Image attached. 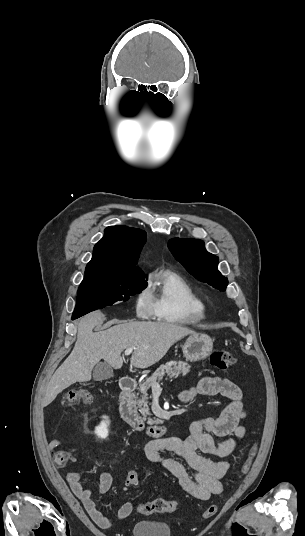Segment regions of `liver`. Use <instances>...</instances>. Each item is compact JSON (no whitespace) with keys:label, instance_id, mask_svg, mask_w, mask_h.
Wrapping results in <instances>:
<instances>
[{"label":"liver","instance_id":"liver-1","mask_svg":"<svg viewBox=\"0 0 305 536\" xmlns=\"http://www.w3.org/2000/svg\"><path fill=\"white\" fill-rule=\"evenodd\" d=\"M105 320L102 312H91L78 322L77 342L64 364L53 374L42 400L48 406L56 396L75 382H90L91 372L104 360L114 370L123 366L121 352L136 348L130 362L134 368H149L159 362L169 348L188 334H195L188 328H181L168 322H132L122 324L111 320L112 326L104 332H93Z\"/></svg>","mask_w":305,"mask_h":536}]
</instances>
